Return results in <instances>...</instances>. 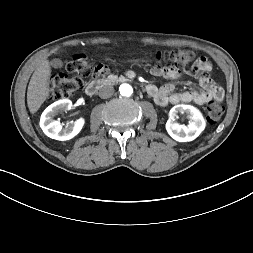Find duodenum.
<instances>
[{"label":"duodenum","instance_id":"410a0bca","mask_svg":"<svg viewBox=\"0 0 253 253\" xmlns=\"http://www.w3.org/2000/svg\"><path fill=\"white\" fill-rule=\"evenodd\" d=\"M125 78H118V77H106V78H100V79H96L92 82H90L85 91L86 94L89 96H93L95 95L103 86L110 84V83H115V82H119V81H124Z\"/></svg>","mask_w":253,"mask_h":253}]
</instances>
